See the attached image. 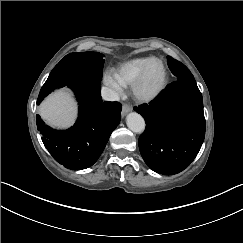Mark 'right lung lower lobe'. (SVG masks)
Listing matches in <instances>:
<instances>
[{
	"mask_svg": "<svg viewBox=\"0 0 243 243\" xmlns=\"http://www.w3.org/2000/svg\"><path fill=\"white\" fill-rule=\"evenodd\" d=\"M68 87L74 90L79 102V117L73 127L54 130L36 116L42 141L52 157L64 167L81 170L92 166L121 119L118 102H102L99 82L75 81Z\"/></svg>",
	"mask_w": 243,
	"mask_h": 243,
	"instance_id": "right-lung-lower-lobe-1",
	"label": "right lung lower lobe"
}]
</instances>
